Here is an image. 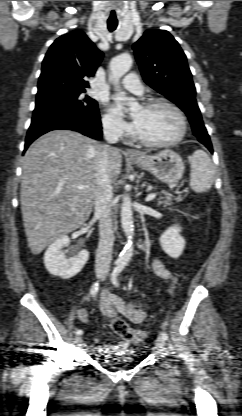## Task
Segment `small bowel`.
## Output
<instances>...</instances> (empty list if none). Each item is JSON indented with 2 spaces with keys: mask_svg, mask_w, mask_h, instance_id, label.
I'll use <instances>...</instances> for the list:
<instances>
[{
  "mask_svg": "<svg viewBox=\"0 0 242 416\" xmlns=\"http://www.w3.org/2000/svg\"><path fill=\"white\" fill-rule=\"evenodd\" d=\"M152 269L158 277L170 282L169 293L172 294L176 287L177 279L171 270L159 258L153 259ZM100 309L102 313L108 318L122 316L136 324L141 323L146 317V311L142 309L138 304L124 301L122 298L113 294L107 289L102 290L100 293ZM76 314L77 319L80 322H88L89 318L86 309L79 308ZM123 345V342H119L114 345H103L98 343V341H95V349L102 355L109 354L114 349L120 348Z\"/></svg>",
  "mask_w": 242,
  "mask_h": 416,
  "instance_id": "c3829d8e",
  "label": "small bowel"
}]
</instances>
